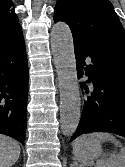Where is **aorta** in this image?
I'll return each mask as SVG.
<instances>
[{
  "label": "aorta",
  "mask_w": 125,
  "mask_h": 167,
  "mask_svg": "<svg viewBox=\"0 0 125 167\" xmlns=\"http://www.w3.org/2000/svg\"><path fill=\"white\" fill-rule=\"evenodd\" d=\"M51 49L60 90V122L62 133L71 137L79 124L81 98L71 30L64 22L53 25Z\"/></svg>",
  "instance_id": "obj_1"
}]
</instances>
